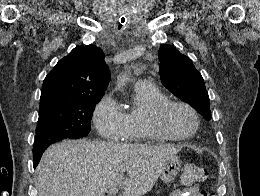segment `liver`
I'll list each match as a JSON object with an SVG mask.
<instances>
[{
    "instance_id": "liver-1",
    "label": "liver",
    "mask_w": 260,
    "mask_h": 196,
    "mask_svg": "<svg viewBox=\"0 0 260 196\" xmlns=\"http://www.w3.org/2000/svg\"><path fill=\"white\" fill-rule=\"evenodd\" d=\"M181 146H139L114 142L63 140L44 152L36 170L38 196H145ZM127 172V176H125Z\"/></svg>"
}]
</instances>
